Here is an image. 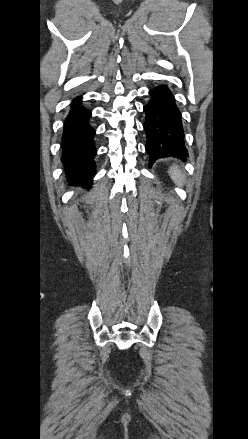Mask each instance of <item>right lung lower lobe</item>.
<instances>
[{"label":"right lung lower lobe","instance_id":"right-lung-lower-lobe-1","mask_svg":"<svg viewBox=\"0 0 248 439\" xmlns=\"http://www.w3.org/2000/svg\"><path fill=\"white\" fill-rule=\"evenodd\" d=\"M91 111L81 104V97L73 99L64 121L62 134V162L72 183L91 185L95 176V130L89 123Z\"/></svg>","mask_w":248,"mask_h":439}]
</instances>
